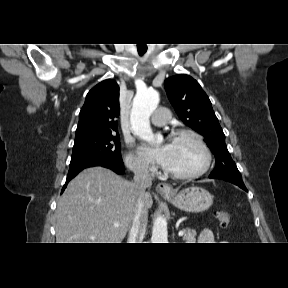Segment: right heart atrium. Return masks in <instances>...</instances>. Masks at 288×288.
Masks as SVG:
<instances>
[{
  "instance_id": "d8ad5b80",
  "label": "right heart atrium",
  "mask_w": 288,
  "mask_h": 288,
  "mask_svg": "<svg viewBox=\"0 0 288 288\" xmlns=\"http://www.w3.org/2000/svg\"><path fill=\"white\" fill-rule=\"evenodd\" d=\"M127 166L135 173L149 174L152 171L151 162L134 151H129L125 158Z\"/></svg>"
}]
</instances>
